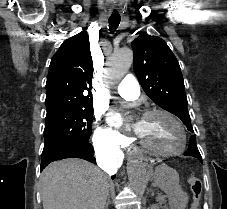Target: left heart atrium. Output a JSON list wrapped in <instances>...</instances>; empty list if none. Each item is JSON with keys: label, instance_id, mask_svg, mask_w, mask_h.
Returning <instances> with one entry per match:
<instances>
[{"label": "left heart atrium", "instance_id": "obj_1", "mask_svg": "<svg viewBox=\"0 0 227 209\" xmlns=\"http://www.w3.org/2000/svg\"><path fill=\"white\" fill-rule=\"evenodd\" d=\"M109 120H110V122H112L113 124H116V125H118L120 123V117L115 112H111L109 114Z\"/></svg>", "mask_w": 227, "mask_h": 209}]
</instances>
